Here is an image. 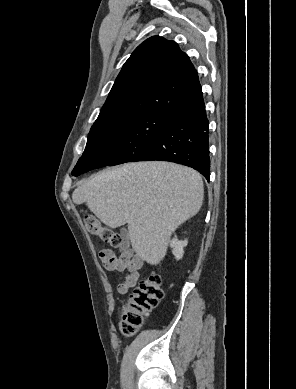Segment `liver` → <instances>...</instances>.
<instances>
[{
  "instance_id": "liver-1",
  "label": "liver",
  "mask_w": 296,
  "mask_h": 389,
  "mask_svg": "<svg viewBox=\"0 0 296 389\" xmlns=\"http://www.w3.org/2000/svg\"><path fill=\"white\" fill-rule=\"evenodd\" d=\"M198 172L175 163H127L97 173L72 194L110 228L128 224L133 250L147 263L165 257L172 233L203 203Z\"/></svg>"
}]
</instances>
